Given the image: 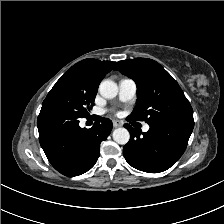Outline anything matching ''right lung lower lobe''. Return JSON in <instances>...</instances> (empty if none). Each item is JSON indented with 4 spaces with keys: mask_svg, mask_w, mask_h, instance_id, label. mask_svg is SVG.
<instances>
[{
    "mask_svg": "<svg viewBox=\"0 0 224 224\" xmlns=\"http://www.w3.org/2000/svg\"><path fill=\"white\" fill-rule=\"evenodd\" d=\"M39 141L51 165L66 176L90 170L100 154L112 122L100 118L90 129L79 126V117L52 108H41L37 119Z\"/></svg>",
    "mask_w": 224,
    "mask_h": 224,
    "instance_id": "1",
    "label": "right lung lower lobe"
}]
</instances>
